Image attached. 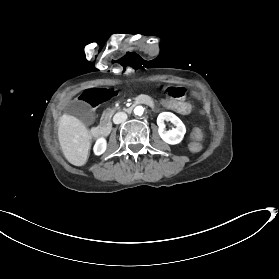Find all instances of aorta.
Returning a JSON list of instances; mask_svg holds the SVG:
<instances>
[{"label":"aorta","instance_id":"obj_1","mask_svg":"<svg viewBox=\"0 0 279 279\" xmlns=\"http://www.w3.org/2000/svg\"><path fill=\"white\" fill-rule=\"evenodd\" d=\"M144 112V108L142 106H137L134 109L135 115L141 116Z\"/></svg>","mask_w":279,"mask_h":279}]
</instances>
